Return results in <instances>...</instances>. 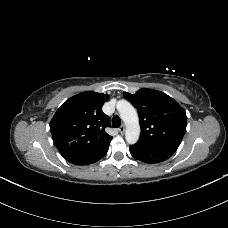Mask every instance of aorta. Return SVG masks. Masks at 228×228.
<instances>
[{
  "instance_id": "obj_1",
  "label": "aorta",
  "mask_w": 228,
  "mask_h": 228,
  "mask_svg": "<svg viewBox=\"0 0 228 228\" xmlns=\"http://www.w3.org/2000/svg\"><path fill=\"white\" fill-rule=\"evenodd\" d=\"M120 117L126 125L125 138L128 144H135L140 136L139 118L136 109L126 100L117 102Z\"/></svg>"
}]
</instances>
